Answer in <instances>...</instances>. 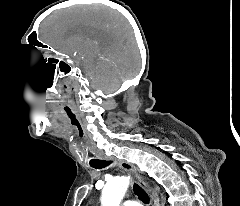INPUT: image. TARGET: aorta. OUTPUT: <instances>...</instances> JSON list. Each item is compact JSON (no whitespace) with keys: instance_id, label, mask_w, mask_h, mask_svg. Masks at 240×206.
<instances>
[{"instance_id":"1","label":"aorta","mask_w":240,"mask_h":206,"mask_svg":"<svg viewBox=\"0 0 240 206\" xmlns=\"http://www.w3.org/2000/svg\"><path fill=\"white\" fill-rule=\"evenodd\" d=\"M129 177H117L109 180L102 190V206H120L129 187Z\"/></svg>"}]
</instances>
